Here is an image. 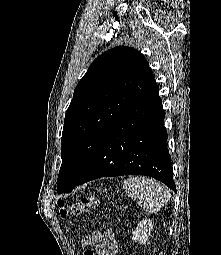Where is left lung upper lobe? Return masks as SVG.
Segmentation results:
<instances>
[{
  "mask_svg": "<svg viewBox=\"0 0 221 255\" xmlns=\"http://www.w3.org/2000/svg\"><path fill=\"white\" fill-rule=\"evenodd\" d=\"M155 86L147 60L134 48L115 47L92 62L65 114L59 193L72 191L112 126Z\"/></svg>",
  "mask_w": 221,
  "mask_h": 255,
  "instance_id": "5c2ea615",
  "label": "left lung upper lobe"
}]
</instances>
